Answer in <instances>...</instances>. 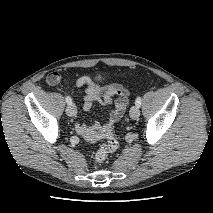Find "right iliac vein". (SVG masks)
Segmentation results:
<instances>
[{
  "mask_svg": "<svg viewBox=\"0 0 213 213\" xmlns=\"http://www.w3.org/2000/svg\"><path fill=\"white\" fill-rule=\"evenodd\" d=\"M66 114L70 117H74L77 114V109L75 107L74 104H70L69 106H67L66 108Z\"/></svg>",
  "mask_w": 213,
  "mask_h": 213,
  "instance_id": "obj_1",
  "label": "right iliac vein"
}]
</instances>
